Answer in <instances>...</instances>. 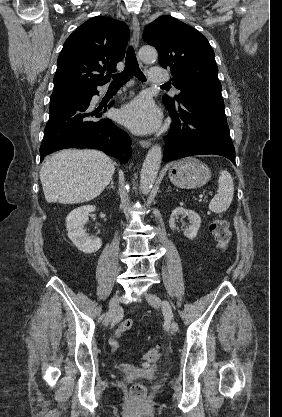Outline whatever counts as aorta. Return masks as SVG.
Segmentation results:
<instances>
[{
    "mask_svg": "<svg viewBox=\"0 0 282 417\" xmlns=\"http://www.w3.org/2000/svg\"><path fill=\"white\" fill-rule=\"evenodd\" d=\"M139 56L144 62H155L157 60L158 52L154 46H141ZM162 158V150L159 144H153L149 148L140 174V188L143 194H148L152 188L160 168Z\"/></svg>",
    "mask_w": 282,
    "mask_h": 417,
    "instance_id": "1",
    "label": "aorta"
}]
</instances>
